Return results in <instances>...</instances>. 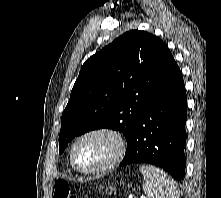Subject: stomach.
I'll use <instances>...</instances> for the list:
<instances>
[{
	"mask_svg": "<svg viewBox=\"0 0 221 198\" xmlns=\"http://www.w3.org/2000/svg\"><path fill=\"white\" fill-rule=\"evenodd\" d=\"M113 191H114V189L111 188L110 191H109V193H112Z\"/></svg>",
	"mask_w": 221,
	"mask_h": 198,
	"instance_id": "stomach-1",
	"label": "stomach"
}]
</instances>
